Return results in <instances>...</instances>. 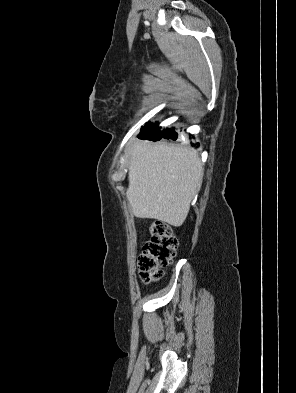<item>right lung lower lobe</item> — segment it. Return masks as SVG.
<instances>
[{"mask_svg": "<svg viewBox=\"0 0 296 393\" xmlns=\"http://www.w3.org/2000/svg\"><path fill=\"white\" fill-rule=\"evenodd\" d=\"M138 137L152 141H157L162 138L177 140L178 134L175 132L174 128H166L164 131H161L160 127H157V124L147 123L144 127L141 128Z\"/></svg>", "mask_w": 296, "mask_h": 393, "instance_id": "obj_1", "label": "right lung lower lobe"}]
</instances>
